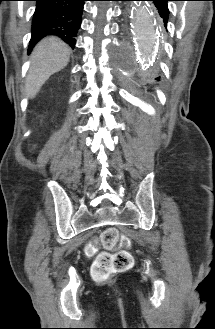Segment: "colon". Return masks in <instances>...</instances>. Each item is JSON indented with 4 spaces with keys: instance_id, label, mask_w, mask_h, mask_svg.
Segmentation results:
<instances>
[{
    "instance_id": "colon-1",
    "label": "colon",
    "mask_w": 215,
    "mask_h": 329,
    "mask_svg": "<svg viewBox=\"0 0 215 329\" xmlns=\"http://www.w3.org/2000/svg\"><path fill=\"white\" fill-rule=\"evenodd\" d=\"M102 246L107 250L114 249L119 242H127L126 239L120 238L118 231L113 228H107L100 237ZM96 242H93L88 248L87 253L92 254L95 251ZM133 264V257L127 251L117 253L103 252L98 255L92 265L91 275L95 281H105L112 274L125 271Z\"/></svg>"
}]
</instances>
